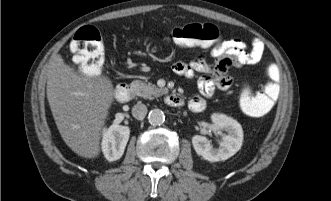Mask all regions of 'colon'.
Here are the masks:
<instances>
[{"label": "colon", "instance_id": "obj_1", "mask_svg": "<svg viewBox=\"0 0 331 201\" xmlns=\"http://www.w3.org/2000/svg\"><path fill=\"white\" fill-rule=\"evenodd\" d=\"M166 39L176 45L213 48L221 44L222 35L210 23H192L176 27L166 34ZM75 63L80 72L87 75L100 73L105 61L104 44L99 31L93 26L80 28L72 40ZM268 82L260 91L243 86L239 92L240 107L249 116L267 114L274 106L281 81V71L275 63L266 68Z\"/></svg>", "mask_w": 331, "mask_h": 201}]
</instances>
